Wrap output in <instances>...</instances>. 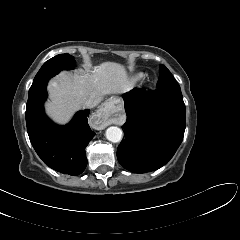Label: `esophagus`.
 Segmentation results:
<instances>
[{"label":"esophagus","instance_id":"34e87169","mask_svg":"<svg viewBox=\"0 0 240 240\" xmlns=\"http://www.w3.org/2000/svg\"><path fill=\"white\" fill-rule=\"evenodd\" d=\"M118 99L116 98H110L108 99L100 109L96 112V119L98 121V124H100L102 127H106L110 124H112L111 115L115 111V105L118 103Z\"/></svg>","mask_w":240,"mask_h":240}]
</instances>
